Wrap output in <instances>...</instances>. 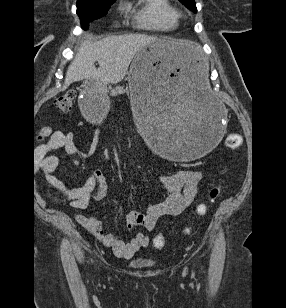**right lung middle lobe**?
<instances>
[{"label": "right lung middle lobe", "mask_w": 286, "mask_h": 308, "mask_svg": "<svg viewBox=\"0 0 286 308\" xmlns=\"http://www.w3.org/2000/svg\"><path fill=\"white\" fill-rule=\"evenodd\" d=\"M116 0H78L77 15L84 28H87L89 22L107 14L109 7Z\"/></svg>", "instance_id": "right-lung-middle-lobe-1"}]
</instances>
